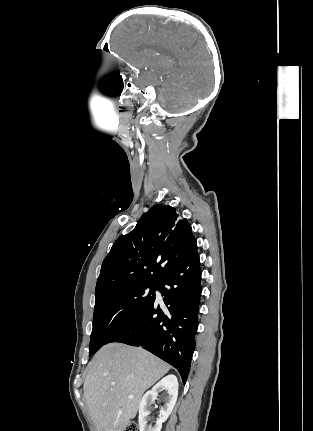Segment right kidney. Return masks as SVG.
Listing matches in <instances>:
<instances>
[{
    "label": "right kidney",
    "instance_id": "1",
    "mask_svg": "<svg viewBox=\"0 0 313 431\" xmlns=\"http://www.w3.org/2000/svg\"><path fill=\"white\" fill-rule=\"evenodd\" d=\"M166 391L165 404L161 408L159 418L154 426L147 425V417L150 414V406L156 400L158 392ZM178 397V380L174 375H168L160 380L150 391H147L140 401L139 405V429L140 431H160L162 423L165 422L171 414Z\"/></svg>",
    "mask_w": 313,
    "mask_h": 431
}]
</instances>
